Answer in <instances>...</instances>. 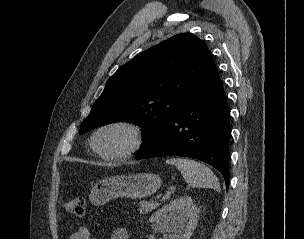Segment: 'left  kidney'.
Segmentation results:
<instances>
[{"label": "left kidney", "instance_id": "left-kidney-1", "mask_svg": "<svg viewBox=\"0 0 304 239\" xmlns=\"http://www.w3.org/2000/svg\"><path fill=\"white\" fill-rule=\"evenodd\" d=\"M199 212L191 197L182 196L152 214L149 222L155 231L168 233V239H190Z\"/></svg>", "mask_w": 304, "mask_h": 239}]
</instances>
